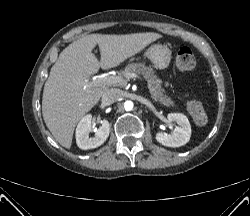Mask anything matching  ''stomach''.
Instances as JSON below:
<instances>
[{
	"label": "stomach",
	"instance_id": "obj_1",
	"mask_svg": "<svg viewBox=\"0 0 250 216\" xmlns=\"http://www.w3.org/2000/svg\"><path fill=\"white\" fill-rule=\"evenodd\" d=\"M171 54V50L164 45H153L145 52V56L159 70H165L169 67Z\"/></svg>",
	"mask_w": 250,
	"mask_h": 216
}]
</instances>
